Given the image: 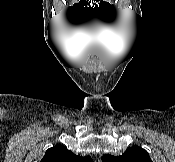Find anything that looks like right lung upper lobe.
<instances>
[{"mask_svg":"<svg viewBox=\"0 0 175 162\" xmlns=\"http://www.w3.org/2000/svg\"><path fill=\"white\" fill-rule=\"evenodd\" d=\"M40 162H93L89 156H78L65 146L57 145L49 148Z\"/></svg>","mask_w":175,"mask_h":162,"instance_id":"obj_1","label":"right lung upper lobe"}]
</instances>
